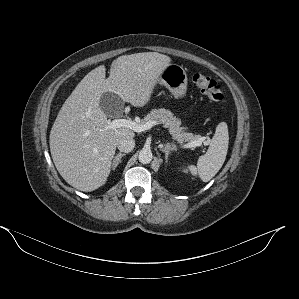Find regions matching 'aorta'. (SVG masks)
Masks as SVG:
<instances>
[{
  "label": "aorta",
  "instance_id": "1",
  "mask_svg": "<svg viewBox=\"0 0 299 299\" xmlns=\"http://www.w3.org/2000/svg\"><path fill=\"white\" fill-rule=\"evenodd\" d=\"M153 155L149 149H142L139 152L138 159L142 164H149L152 161Z\"/></svg>",
  "mask_w": 299,
  "mask_h": 299
}]
</instances>
